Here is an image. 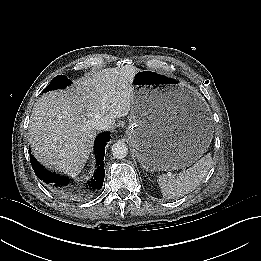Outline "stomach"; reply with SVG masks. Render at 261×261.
Here are the masks:
<instances>
[{
    "label": "stomach",
    "instance_id": "obj_1",
    "mask_svg": "<svg viewBox=\"0 0 261 261\" xmlns=\"http://www.w3.org/2000/svg\"><path fill=\"white\" fill-rule=\"evenodd\" d=\"M133 88L126 133L142 167L171 171L196 162L212 134L193 108L194 91L174 77L149 70L135 75Z\"/></svg>",
    "mask_w": 261,
    "mask_h": 261
}]
</instances>
